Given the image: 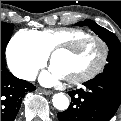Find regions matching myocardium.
<instances>
[{
    "instance_id": "f54148a6",
    "label": "myocardium",
    "mask_w": 121,
    "mask_h": 121,
    "mask_svg": "<svg viewBox=\"0 0 121 121\" xmlns=\"http://www.w3.org/2000/svg\"><path fill=\"white\" fill-rule=\"evenodd\" d=\"M89 41H96L100 44L102 48V55H101V60L99 64L93 68L91 71L82 74L77 77L73 78H67L65 79L69 84H81L84 82H87L96 76H98L106 67L107 62H108V57H109V46L106 40L98 35H87L84 36L75 42L69 44V45H59L56 46L52 51L49 53V62L52 65V60L54 56L58 53H66L69 55H73L75 53V50L83 45H85Z\"/></svg>"
}]
</instances>
